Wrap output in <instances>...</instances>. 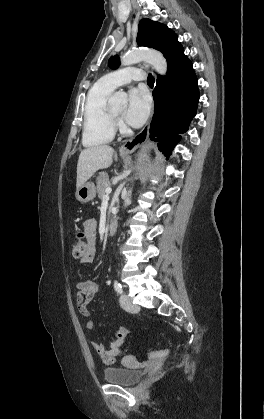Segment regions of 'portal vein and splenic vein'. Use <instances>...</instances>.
I'll use <instances>...</instances> for the list:
<instances>
[{
	"mask_svg": "<svg viewBox=\"0 0 264 419\" xmlns=\"http://www.w3.org/2000/svg\"><path fill=\"white\" fill-rule=\"evenodd\" d=\"M111 192H112V189L109 187V188H106V191H105V195H104V197L103 198H108L109 197V194H111Z\"/></svg>",
	"mask_w": 264,
	"mask_h": 419,
	"instance_id": "18ae733b",
	"label": "portal vein and splenic vein"
}]
</instances>
